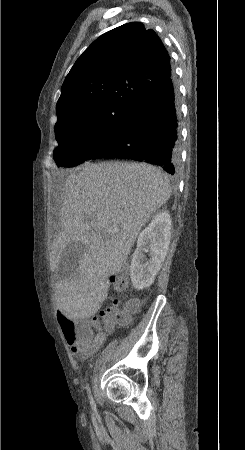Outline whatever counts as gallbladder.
Instances as JSON below:
<instances>
[{"label": "gallbladder", "mask_w": 245, "mask_h": 450, "mask_svg": "<svg viewBox=\"0 0 245 450\" xmlns=\"http://www.w3.org/2000/svg\"><path fill=\"white\" fill-rule=\"evenodd\" d=\"M84 251L85 245L78 242L70 243L64 251L56 269V276L60 279H67L70 276L77 275L79 259Z\"/></svg>", "instance_id": "obj_1"}]
</instances>
